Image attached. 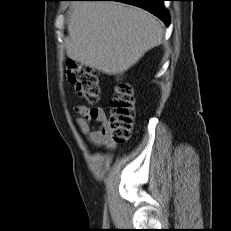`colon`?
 Instances as JSON below:
<instances>
[{
  "label": "colon",
  "instance_id": "obj_1",
  "mask_svg": "<svg viewBox=\"0 0 231 231\" xmlns=\"http://www.w3.org/2000/svg\"><path fill=\"white\" fill-rule=\"evenodd\" d=\"M67 75L80 97L89 103H96L99 100L100 85L95 69L70 61ZM110 108L111 135L115 141L124 142L131 134L135 117V97L129 83L120 81L116 85Z\"/></svg>",
  "mask_w": 231,
  "mask_h": 231
}]
</instances>
